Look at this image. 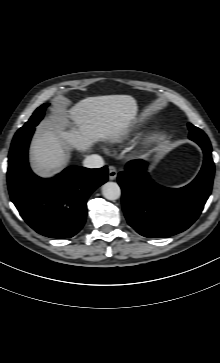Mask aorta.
Wrapping results in <instances>:
<instances>
[{
  "mask_svg": "<svg viewBox=\"0 0 220 363\" xmlns=\"http://www.w3.org/2000/svg\"><path fill=\"white\" fill-rule=\"evenodd\" d=\"M102 194L107 200H117L121 196L120 186L116 182H107L102 186Z\"/></svg>",
  "mask_w": 220,
  "mask_h": 363,
  "instance_id": "1",
  "label": "aorta"
}]
</instances>
